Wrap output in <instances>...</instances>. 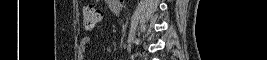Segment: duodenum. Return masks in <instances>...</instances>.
<instances>
[{"mask_svg": "<svg viewBox=\"0 0 267 60\" xmlns=\"http://www.w3.org/2000/svg\"><path fill=\"white\" fill-rule=\"evenodd\" d=\"M123 0H112L110 1V6L112 8V10L114 11V13H118L120 12V10L122 9L123 6Z\"/></svg>", "mask_w": 267, "mask_h": 60, "instance_id": "obj_1", "label": "duodenum"}]
</instances>
